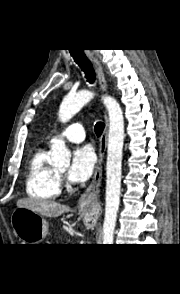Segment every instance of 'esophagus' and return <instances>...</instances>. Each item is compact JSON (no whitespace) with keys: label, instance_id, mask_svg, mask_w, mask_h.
I'll use <instances>...</instances> for the list:
<instances>
[{"label":"esophagus","instance_id":"obj_1","mask_svg":"<svg viewBox=\"0 0 180 294\" xmlns=\"http://www.w3.org/2000/svg\"><path fill=\"white\" fill-rule=\"evenodd\" d=\"M86 54L91 60L95 68L101 90L103 92H106L107 82H106L102 65L100 64L98 59L93 55V53L90 50H87ZM104 118H105V128L100 138L99 159L95 166V171H94L92 181L87 187V189L84 191V193L81 195L80 202H79V212L82 215H84V218L87 222L92 220L94 221L97 220L102 214V206L99 200V193H100V187H101L103 162H104L105 152L107 148L108 119L106 114L104 115Z\"/></svg>","mask_w":180,"mask_h":294}]
</instances>
